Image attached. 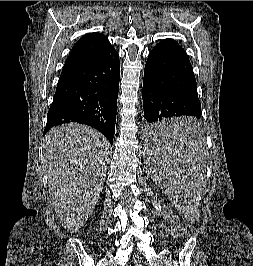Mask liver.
Returning a JSON list of instances; mask_svg holds the SVG:
<instances>
[{"instance_id":"liver-1","label":"liver","mask_w":253,"mask_h":266,"mask_svg":"<svg viewBox=\"0 0 253 266\" xmlns=\"http://www.w3.org/2000/svg\"><path fill=\"white\" fill-rule=\"evenodd\" d=\"M108 140L92 127L70 123L45 137L48 189L62 226L76 233L95 209L103 189Z\"/></svg>"}]
</instances>
